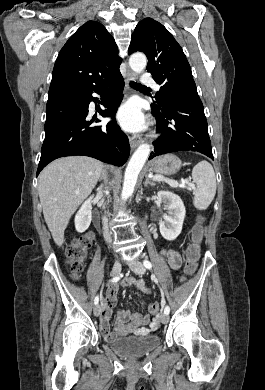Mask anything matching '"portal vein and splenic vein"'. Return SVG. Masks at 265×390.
<instances>
[{"instance_id": "obj_1", "label": "portal vein and splenic vein", "mask_w": 265, "mask_h": 390, "mask_svg": "<svg viewBox=\"0 0 265 390\" xmlns=\"http://www.w3.org/2000/svg\"><path fill=\"white\" fill-rule=\"evenodd\" d=\"M153 180L154 181H165L167 182L170 186L172 187H177V186H180V187H185L186 184H188V186L192 189L195 188L194 184L192 183H189L187 180L183 181L181 184H178V182L176 180H172V179H167V178H164L162 176H154L153 177Z\"/></svg>"}]
</instances>
